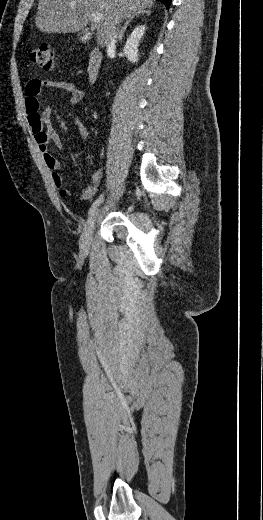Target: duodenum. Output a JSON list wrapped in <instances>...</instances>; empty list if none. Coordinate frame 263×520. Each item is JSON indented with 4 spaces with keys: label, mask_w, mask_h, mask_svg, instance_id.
Instances as JSON below:
<instances>
[{
    "label": "duodenum",
    "mask_w": 263,
    "mask_h": 520,
    "mask_svg": "<svg viewBox=\"0 0 263 520\" xmlns=\"http://www.w3.org/2000/svg\"><path fill=\"white\" fill-rule=\"evenodd\" d=\"M102 53L99 49L94 48L91 50L87 65V76L91 83H94L98 77L101 64H102Z\"/></svg>",
    "instance_id": "duodenum-1"
}]
</instances>
